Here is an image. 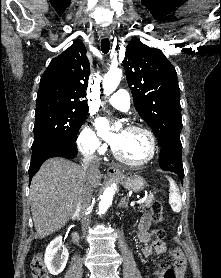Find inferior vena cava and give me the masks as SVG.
<instances>
[{
	"label": "inferior vena cava",
	"instance_id": "602c4592",
	"mask_svg": "<svg viewBox=\"0 0 221 278\" xmlns=\"http://www.w3.org/2000/svg\"><path fill=\"white\" fill-rule=\"evenodd\" d=\"M82 167L85 172V181L82 186L79 201L76 207V211L79 213V217L82 224V230L86 231L90 219L86 214L92 198L93 187L91 179L99 173V159L96 155L90 154L84 157Z\"/></svg>",
	"mask_w": 221,
	"mask_h": 278
}]
</instances>
